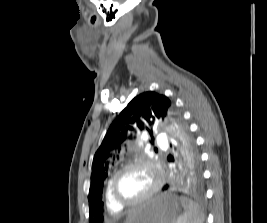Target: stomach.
Instances as JSON below:
<instances>
[{"instance_id": "0dacf381", "label": "stomach", "mask_w": 267, "mask_h": 223, "mask_svg": "<svg viewBox=\"0 0 267 223\" xmlns=\"http://www.w3.org/2000/svg\"><path fill=\"white\" fill-rule=\"evenodd\" d=\"M180 201L172 193L155 195L134 208L125 223H176Z\"/></svg>"}]
</instances>
